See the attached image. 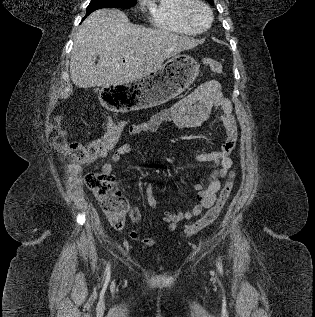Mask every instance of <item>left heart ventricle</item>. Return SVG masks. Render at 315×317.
<instances>
[{
  "label": "left heart ventricle",
  "instance_id": "1",
  "mask_svg": "<svg viewBox=\"0 0 315 317\" xmlns=\"http://www.w3.org/2000/svg\"><path fill=\"white\" fill-rule=\"evenodd\" d=\"M194 18L196 23L200 27H204L208 23V15L207 12L203 8H197L194 13Z\"/></svg>",
  "mask_w": 315,
  "mask_h": 317
}]
</instances>
